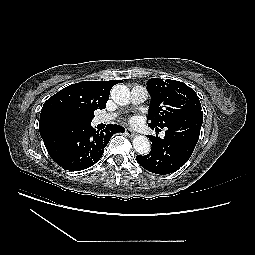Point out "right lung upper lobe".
Listing matches in <instances>:
<instances>
[{
    "instance_id": "right-lung-upper-lobe-1",
    "label": "right lung upper lobe",
    "mask_w": 255,
    "mask_h": 255,
    "mask_svg": "<svg viewBox=\"0 0 255 255\" xmlns=\"http://www.w3.org/2000/svg\"><path fill=\"white\" fill-rule=\"evenodd\" d=\"M121 82L83 81L60 90L43 105L39 123L40 134L61 122H91L96 109H105L111 88Z\"/></svg>"
}]
</instances>
